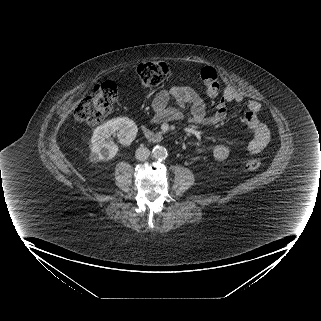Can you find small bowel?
Segmentation results:
<instances>
[{"label": "small bowel", "instance_id": "small-bowel-1", "mask_svg": "<svg viewBox=\"0 0 321 321\" xmlns=\"http://www.w3.org/2000/svg\"><path fill=\"white\" fill-rule=\"evenodd\" d=\"M171 101H175L182 109H188L191 122L200 125L220 124L227 118L229 104L245 103L246 110L241 114V120L253 135L247 145V152L257 154L270 141V130L259 118L260 103L253 99H247L243 93L234 89H227L223 98L214 107L213 112L209 114L204 100L193 88L180 85L172 86L158 93L153 100L152 121L154 123L183 119V113L179 108L169 107ZM229 154L230 146L225 143H219L213 149V157L216 161L225 160Z\"/></svg>", "mask_w": 321, "mask_h": 321}]
</instances>
